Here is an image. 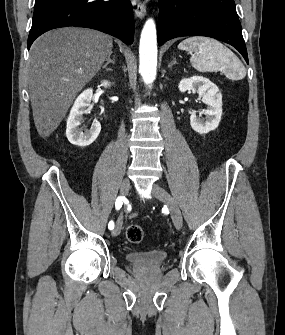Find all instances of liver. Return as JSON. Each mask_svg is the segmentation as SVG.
<instances>
[{
	"instance_id": "6515ba94",
	"label": "liver",
	"mask_w": 285,
	"mask_h": 335,
	"mask_svg": "<svg viewBox=\"0 0 285 335\" xmlns=\"http://www.w3.org/2000/svg\"><path fill=\"white\" fill-rule=\"evenodd\" d=\"M112 48L110 36L89 28L52 30L34 42L27 74L33 120L41 138L56 130Z\"/></svg>"
}]
</instances>
